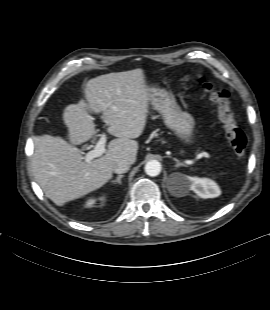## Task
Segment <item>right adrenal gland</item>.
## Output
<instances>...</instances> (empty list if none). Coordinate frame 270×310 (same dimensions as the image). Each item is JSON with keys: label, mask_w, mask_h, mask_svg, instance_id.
Returning <instances> with one entry per match:
<instances>
[{"label": "right adrenal gland", "mask_w": 270, "mask_h": 310, "mask_svg": "<svg viewBox=\"0 0 270 310\" xmlns=\"http://www.w3.org/2000/svg\"><path fill=\"white\" fill-rule=\"evenodd\" d=\"M124 177V175H118L117 178L115 180H112V183H118L119 185H121V179Z\"/></svg>", "instance_id": "2a0ac1e0"}]
</instances>
